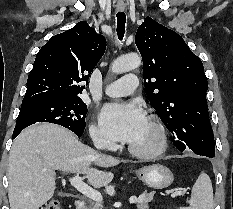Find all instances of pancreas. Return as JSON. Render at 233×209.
I'll use <instances>...</instances> for the list:
<instances>
[{
	"label": "pancreas",
	"mask_w": 233,
	"mask_h": 209,
	"mask_svg": "<svg viewBox=\"0 0 233 209\" xmlns=\"http://www.w3.org/2000/svg\"><path fill=\"white\" fill-rule=\"evenodd\" d=\"M154 192L144 194L137 201L138 209H148V203L153 199ZM87 209H102V205L100 203H91Z\"/></svg>",
	"instance_id": "1"
}]
</instances>
